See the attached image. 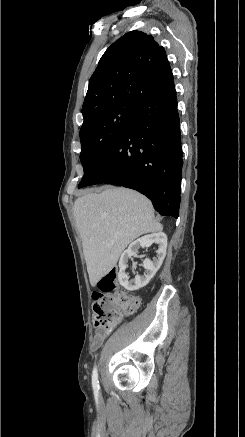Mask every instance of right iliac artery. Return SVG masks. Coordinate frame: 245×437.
Instances as JSON below:
<instances>
[{
  "label": "right iliac artery",
  "mask_w": 245,
  "mask_h": 437,
  "mask_svg": "<svg viewBox=\"0 0 245 437\" xmlns=\"http://www.w3.org/2000/svg\"><path fill=\"white\" fill-rule=\"evenodd\" d=\"M92 385H93L94 392L98 393V391H99V381H98V372H97V368L96 367H94L93 373H92Z\"/></svg>",
  "instance_id": "82829eb1"
}]
</instances>
